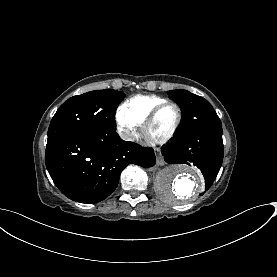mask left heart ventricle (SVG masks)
Returning <instances> with one entry per match:
<instances>
[{
  "mask_svg": "<svg viewBox=\"0 0 277 277\" xmlns=\"http://www.w3.org/2000/svg\"><path fill=\"white\" fill-rule=\"evenodd\" d=\"M177 120V112L174 106L164 108L158 115L154 125L149 131V136L152 138H161L167 135Z\"/></svg>",
  "mask_w": 277,
  "mask_h": 277,
  "instance_id": "b2bd125f",
  "label": "left heart ventricle"
}]
</instances>
